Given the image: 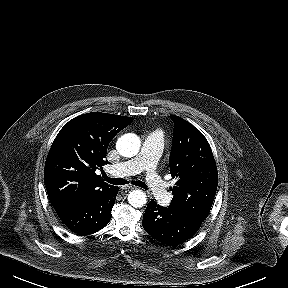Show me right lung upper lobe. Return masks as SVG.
Listing matches in <instances>:
<instances>
[{
	"label": "right lung upper lobe",
	"instance_id": "right-lung-upper-lobe-1",
	"mask_svg": "<svg viewBox=\"0 0 288 288\" xmlns=\"http://www.w3.org/2000/svg\"><path fill=\"white\" fill-rule=\"evenodd\" d=\"M133 120L92 112L64 125L50 148L44 170L48 197L54 208L90 198L113 187L95 171L108 163L105 158L111 140Z\"/></svg>",
	"mask_w": 288,
	"mask_h": 288
}]
</instances>
